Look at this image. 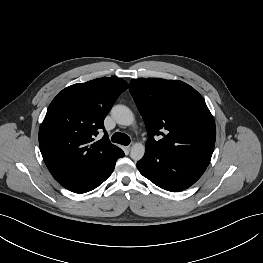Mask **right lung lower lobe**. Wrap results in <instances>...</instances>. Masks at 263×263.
<instances>
[{"label": "right lung lower lobe", "instance_id": "right-lung-lower-lobe-1", "mask_svg": "<svg viewBox=\"0 0 263 263\" xmlns=\"http://www.w3.org/2000/svg\"><path fill=\"white\" fill-rule=\"evenodd\" d=\"M122 157H124V152L121 150L112 160L103 163L91 173L65 186V188L79 194L95 189L110 177L115 168V162Z\"/></svg>", "mask_w": 263, "mask_h": 263}]
</instances>
